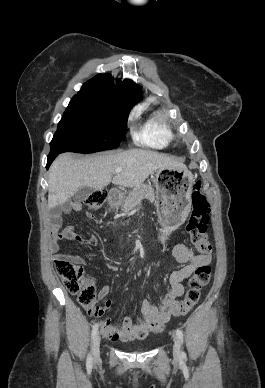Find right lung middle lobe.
Segmentation results:
<instances>
[{
  "instance_id": "dd1d6c3e",
  "label": "right lung middle lobe",
  "mask_w": 265,
  "mask_h": 388,
  "mask_svg": "<svg viewBox=\"0 0 265 388\" xmlns=\"http://www.w3.org/2000/svg\"><path fill=\"white\" fill-rule=\"evenodd\" d=\"M136 103L104 96H74L50 142V154L94 153L117 148Z\"/></svg>"
}]
</instances>
